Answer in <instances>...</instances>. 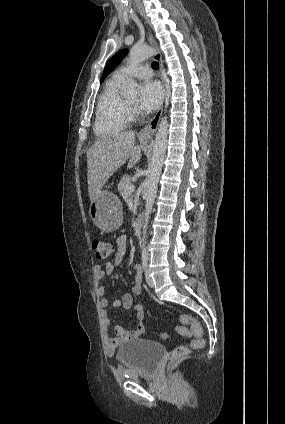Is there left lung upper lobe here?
<instances>
[{
    "label": "left lung upper lobe",
    "mask_w": 285,
    "mask_h": 424,
    "mask_svg": "<svg viewBox=\"0 0 285 424\" xmlns=\"http://www.w3.org/2000/svg\"><path fill=\"white\" fill-rule=\"evenodd\" d=\"M128 50L122 49L118 53H116L106 64L104 68V72L101 77L100 83L103 82V80L109 75L112 70L119 65V63L122 61V59L127 55Z\"/></svg>",
    "instance_id": "obj_1"
}]
</instances>
